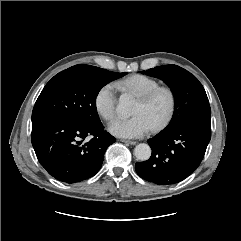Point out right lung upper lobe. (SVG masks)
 I'll return each instance as SVG.
<instances>
[{
	"label": "right lung upper lobe",
	"instance_id": "right-lung-upper-lobe-1",
	"mask_svg": "<svg viewBox=\"0 0 241 241\" xmlns=\"http://www.w3.org/2000/svg\"><path fill=\"white\" fill-rule=\"evenodd\" d=\"M75 66H77V67H84V66H86V65H84V64H79V65H75Z\"/></svg>",
	"mask_w": 241,
	"mask_h": 241
}]
</instances>
